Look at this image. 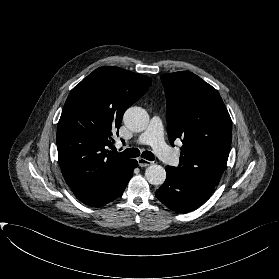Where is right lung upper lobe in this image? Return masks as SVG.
Segmentation results:
<instances>
[{
	"mask_svg": "<svg viewBox=\"0 0 279 279\" xmlns=\"http://www.w3.org/2000/svg\"><path fill=\"white\" fill-rule=\"evenodd\" d=\"M151 83L148 76L103 66L72 89L58 122L57 149L63 176L80 201L97 197L128 171L132 159L112 155L107 146L124 112Z\"/></svg>",
	"mask_w": 279,
	"mask_h": 279,
	"instance_id": "1",
	"label": "right lung upper lobe"
}]
</instances>
